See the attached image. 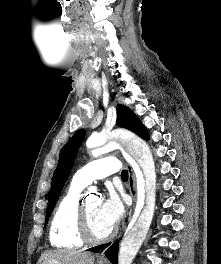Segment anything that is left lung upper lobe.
<instances>
[{
  "label": "left lung upper lobe",
  "instance_id": "5c2ea615",
  "mask_svg": "<svg viewBox=\"0 0 221 264\" xmlns=\"http://www.w3.org/2000/svg\"><path fill=\"white\" fill-rule=\"evenodd\" d=\"M117 125L129 129L139 135L140 137L148 140L149 135L147 129L142 124L137 115L128 107L124 105L117 106ZM85 136V130H78L70 140L62 148L58 166L53 174L52 186L49 192V204L46 210V223L51 215L57 198L71 172L77 151Z\"/></svg>",
  "mask_w": 221,
  "mask_h": 264
}]
</instances>
